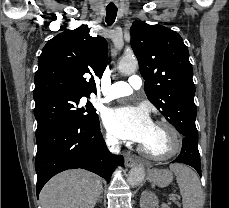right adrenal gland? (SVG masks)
Masks as SVG:
<instances>
[{
    "label": "right adrenal gland",
    "instance_id": "2a0ac1e0",
    "mask_svg": "<svg viewBox=\"0 0 229 208\" xmlns=\"http://www.w3.org/2000/svg\"><path fill=\"white\" fill-rule=\"evenodd\" d=\"M102 194H103V192H102ZM102 198H103V196H100V198H98L96 204H98V202H102Z\"/></svg>",
    "mask_w": 229,
    "mask_h": 208
}]
</instances>
